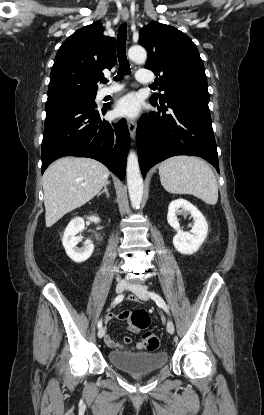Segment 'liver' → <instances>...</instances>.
<instances>
[{
  "mask_svg": "<svg viewBox=\"0 0 264 415\" xmlns=\"http://www.w3.org/2000/svg\"><path fill=\"white\" fill-rule=\"evenodd\" d=\"M109 170L85 157H63L43 175L46 227L93 199L106 184Z\"/></svg>",
  "mask_w": 264,
  "mask_h": 415,
  "instance_id": "liver-1",
  "label": "liver"
}]
</instances>
